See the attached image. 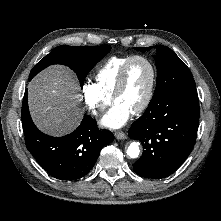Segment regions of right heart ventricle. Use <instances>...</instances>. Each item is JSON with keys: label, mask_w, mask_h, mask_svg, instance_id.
Instances as JSON below:
<instances>
[{"label": "right heart ventricle", "mask_w": 221, "mask_h": 221, "mask_svg": "<svg viewBox=\"0 0 221 221\" xmlns=\"http://www.w3.org/2000/svg\"><path fill=\"white\" fill-rule=\"evenodd\" d=\"M127 56H113L109 58L96 72L95 81L99 90L107 97H112L118 76L123 64L130 58Z\"/></svg>", "instance_id": "e07e8e85"}]
</instances>
